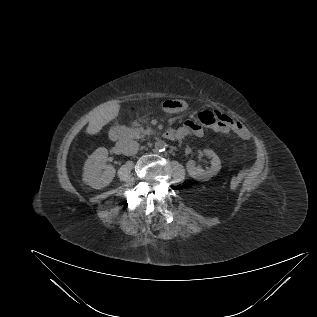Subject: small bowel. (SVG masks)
<instances>
[{
    "instance_id": "c3829d8e",
    "label": "small bowel",
    "mask_w": 317,
    "mask_h": 317,
    "mask_svg": "<svg viewBox=\"0 0 317 317\" xmlns=\"http://www.w3.org/2000/svg\"><path fill=\"white\" fill-rule=\"evenodd\" d=\"M164 108L170 113H179L187 109V104L179 100H167L164 102ZM219 114V123L214 126V129L218 132L234 131L239 136L246 138L248 132L244 126L238 121L233 119L231 116L224 112H217ZM176 139H182L186 136H197L203 135V128L192 120H187L184 125L179 128L176 132Z\"/></svg>"
}]
</instances>
